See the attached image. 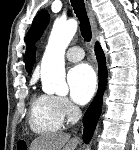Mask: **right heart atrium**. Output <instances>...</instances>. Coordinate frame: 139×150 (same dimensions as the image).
<instances>
[{"label":"right heart atrium","instance_id":"1","mask_svg":"<svg viewBox=\"0 0 139 150\" xmlns=\"http://www.w3.org/2000/svg\"><path fill=\"white\" fill-rule=\"evenodd\" d=\"M57 106L64 117L73 118L77 108L65 97H55Z\"/></svg>","mask_w":139,"mask_h":150}]
</instances>
